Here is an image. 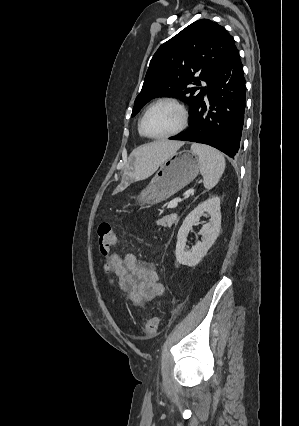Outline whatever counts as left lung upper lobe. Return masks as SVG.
I'll use <instances>...</instances> for the list:
<instances>
[{
	"instance_id": "5c2ea615",
	"label": "left lung upper lobe",
	"mask_w": 299,
	"mask_h": 426,
	"mask_svg": "<svg viewBox=\"0 0 299 426\" xmlns=\"http://www.w3.org/2000/svg\"><path fill=\"white\" fill-rule=\"evenodd\" d=\"M236 49L234 38L223 26L209 19L190 24L154 54L131 116L151 99L171 96L191 106V118L206 93L205 87L197 92L200 88L191 85H200L203 80L208 87Z\"/></svg>"
}]
</instances>
